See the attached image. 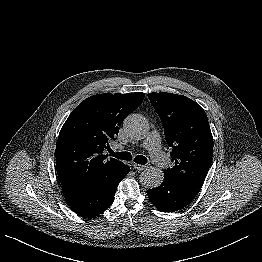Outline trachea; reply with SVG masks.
Listing matches in <instances>:
<instances>
[{"label":"trachea","mask_w":262,"mask_h":262,"mask_svg":"<svg viewBox=\"0 0 262 262\" xmlns=\"http://www.w3.org/2000/svg\"><path fill=\"white\" fill-rule=\"evenodd\" d=\"M109 153H110L111 156H113L117 159L126 160V161H130L132 159V155L129 152L115 153L112 150H109ZM134 162L144 165V164L147 163V158L142 156V155H138L134 158Z\"/></svg>","instance_id":"trachea-1"}]
</instances>
